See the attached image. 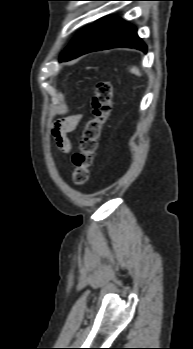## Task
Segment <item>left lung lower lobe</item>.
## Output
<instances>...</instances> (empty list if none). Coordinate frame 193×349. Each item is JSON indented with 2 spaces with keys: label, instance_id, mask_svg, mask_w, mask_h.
Instances as JSON below:
<instances>
[{
  "label": "left lung lower lobe",
  "instance_id": "0a47b994",
  "mask_svg": "<svg viewBox=\"0 0 193 349\" xmlns=\"http://www.w3.org/2000/svg\"><path fill=\"white\" fill-rule=\"evenodd\" d=\"M116 47L147 51L146 45L138 37L137 30L132 25L119 18L106 16L89 26L76 45L62 54L60 61H68L88 52Z\"/></svg>",
  "mask_w": 193,
  "mask_h": 349
}]
</instances>
